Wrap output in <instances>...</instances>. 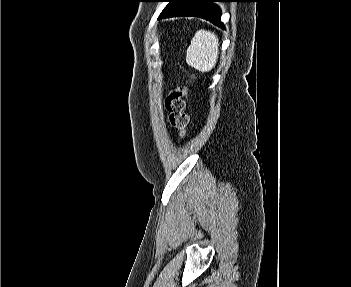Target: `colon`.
Wrapping results in <instances>:
<instances>
[{
    "mask_svg": "<svg viewBox=\"0 0 351 287\" xmlns=\"http://www.w3.org/2000/svg\"><path fill=\"white\" fill-rule=\"evenodd\" d=\"M187 87L177 86L167 96L165 106L169 113L171 126L177 131L179 138H184L189 122L186 113Z\"/></svg>",
    "mask_w": 351,
    "mask_h": 287,
    "instance_id": "obj_1",
    "label": "colon"
}]
</instances>
